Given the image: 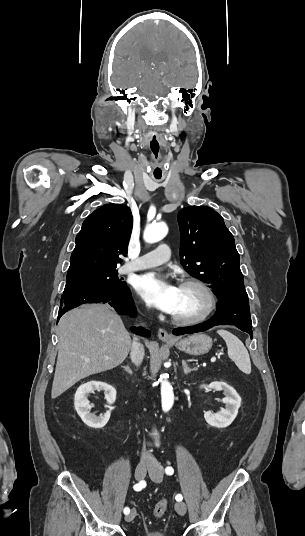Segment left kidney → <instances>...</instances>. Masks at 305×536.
<instances>
[{"label": "left kidney", "instance_id": "obj_1", "mask_svg": "<svg viewBox=\"0 0 305 536\" xmlns=\"http://www.w3.org/2000/svg\"><path fill=\"white\" fill-rule=\"evenodd\" d=\"M201 388H214L216 392L223 390L226 398H223L221 402L226 404L225 408H221L217 414L212 412H205L204 418L209 426H215V428H227L235 420L238 410L241 406V398L238 396L236 390L225 384V382H212L210 386H201Z\"/></svg>", "mask_w": 305, "mask_h": 536}]
</instances>
